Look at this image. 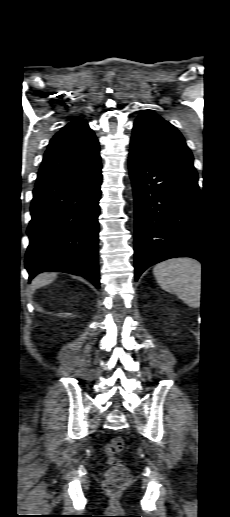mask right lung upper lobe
I'll list each match as a JSON object with an SVG mask.
<instances>
[{
	"label": "right lung upper lobe",
	"mask_w": 230,
	"mask_h": 517,
	"mask_svg": "<svg viewBox=\"0 0 230 517\" xmlns=\"http://www.w3.org/2000/svg\"><path fill=\"white\" fill-rule=\"evenodd\" d=\"M99 143L87 122L76 118L50 141L38 172L36 187L63 182L98 166Z\"/></svg>",
	"instance_id": "1"
}]
</instances>
